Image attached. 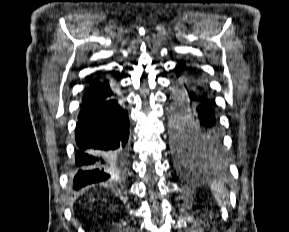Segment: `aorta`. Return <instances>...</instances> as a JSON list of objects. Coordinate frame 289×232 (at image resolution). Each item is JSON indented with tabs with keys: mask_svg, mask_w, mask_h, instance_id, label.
<instances>
[{
	"mask_svg": "<svg viewBox=\"0 0 289 232\" xmlns=\"http://www.w3.org/2000/svg\"><path fill=\"white\" fill-rule=\"evenodd\" d=\"M173 93L175 94V90H173ZM186 109H187V102H186V100H184L182 106L179 107V108H177V109L174 111L173 115H174V114H177V115H178V114H180L182 111H185Z\"/></svg>",
	"mask_w": 289,
	"mask_h": 232,
	"instance_id": "aorta-1",
	"label": "aorta"
}]
</instances>
